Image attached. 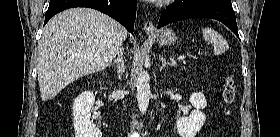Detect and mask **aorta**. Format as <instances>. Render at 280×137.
<instances>
[{"instance_id":"1","label":"aorta","mask_w":280,"mask_h":137,"mask_svg":"<svg viewBox=\"0 0 280 137\" xmlns=\"http://www.w3.org/2000/svg\"><path fill=\"white\" fill-rule=\"evenodd\" d=\"M150 77L149 74L141 70L138 74L136 80V88H137V103L139 111L144 114L147 111L149 105L150 98Z\"/></svg>"}]
</instances>
